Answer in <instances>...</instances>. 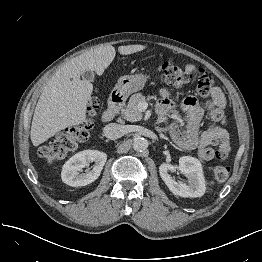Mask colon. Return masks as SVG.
<instances>
[{
	"label": "colon",
	"instance_id": "colon-1",
	"mask_svg": "<svg viewBox=\"0 0 262 262\" xmlns=\"http://www.w3.org/2000/svg\"><path fill=\"white\" fill-rule=\"evenodd\" d=\"M160 78L163 83L174 88L182 87L191 80L190 75L183 67L169 62L160 64ZM98 107L99 100L92 97L88 106L89 113L93 115ZM89 128L90 123H85L67 130L54 141L40 147L39 155L49 163L66 158L70 152L78 147L79 142L87 135ZM213 143L221 145L222 137L217 135L213 139ZM216 155L219 161L213 166V175L217 181L223 182L229 177L231 171V168L222 162L229 157V153L224 147H220Z\"/></svg>",
	"mask_w": 262,
	"mask_h": 262
}]
</instances>
